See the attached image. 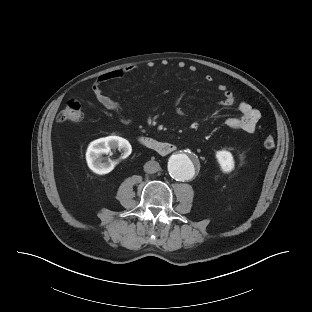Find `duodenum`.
Here are the masks:
<instances>
[{"instance_id": "duodenum-1", "label": "duodenum", "mask_w": 312, "mask_h": 312, "mask_svg": "<svg viewBox=\"0 0 312 312\" xmlns=\"http://www.w3.org/2000/svg\"><path fill=\"white\" fill-rule=\"evenodd\" d=\"M140 145L147 149L159 153L161 155H167L176 150V145L173 143L162 142L148 136H141L138 138Z\"/></svg>"}]
</instances>
